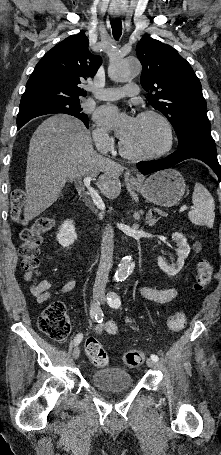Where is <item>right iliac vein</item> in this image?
<instances>
[{
    "instance_id": "63e3f726",
    "label": "right iliac vein",
    "mask_w": 221,
    "mask_h": 455,
    "mask_svg": "<svg viewBox=\"0 0 221 455\" xmlns=\"http://www.w3.org/2000/svg\"><path fill=\"white\" fill-rule=\"evenodd\" d=\"M94 299H95V301H102L103 300V296L97 295V296H95ZM79 355H80V349H79L78 346H76L73 349L72 357H73V359H78Z\"/></svg>"
}]
</instances>
